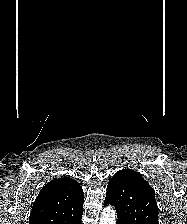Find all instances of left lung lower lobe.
Returning <instances> with one entry per match:
<instances>
[{"mask_svg":"<svg viewBox=\"0 0 187 224\" xmlns=\"http://www.w3.org/2000/svg\"><path fill=\"white\" fill-rule=\"evenodd\" d=\"M108 203L106 201H104V205H107ZM116 224H124L123 220L119 217H117V222Z\"/></svg>","mask_w":187,"mask_h":224,"instance_id":"1","label":"left lung lower lobe"}]
</instances>
